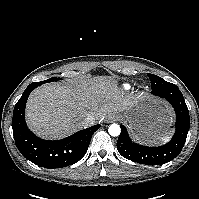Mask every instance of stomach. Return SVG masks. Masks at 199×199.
Wrapping results in <instances>:
<instances>
[{"mask_svg": "<svg viewBox=\"0 0 199 199\" xmlns=\"http://www.w3.org/2000/svg\"><path fill=\"white\" fill-rule=\"evenodd\" d=\"M132 135L139 141L159 138L167 129L170 115L167 107L149 96H142L121 114Z\"/></svg>", "mask_w": 199, "mask_h": 199, "instance_id": "obj_1", "label": "stomach"}]
</instances>
